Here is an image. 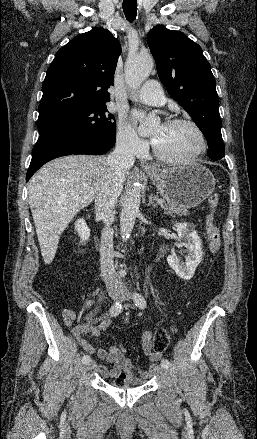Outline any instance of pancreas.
Listing matches in <instances>:
<instances>
[{
  "label": "pancreas",
  "mask_w": 257,
  "mask_h": 439,
  "mask_svg": "<svg viewBox=\"0 0 257 439\" xmlns=\"http://www.w3.org/2000/svg\"><path fill=\"white\" fill-rule=\"evenodd\" d=\"M161 208H163L169 215L176 214L180 216H187L190 214L186 208L180 207L178 206V204L173 203L169 200H166L165 204L161 205Z\"/></svg>",
  "instance_id": "cf45deb5"
}]
</instances>
